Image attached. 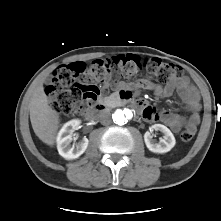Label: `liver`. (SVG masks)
I'll return each mask as SVG.
<instances>
[{
    "label": "liver",
    "instance_id": "obj_1",
    "mask_svg": "<svg viewBox=\"0 0 221 221\" xmlns=\"http://www.w3.org/2000/svg\"><path fill=\"white\" fill-rule=\"evenodd\" d=\"M30 121L34 133L45 144L53 146L59 129V114L49 104L41 82L33 92L30 102Z\"/></svg>",
    "mask_w": 221,
    "mask_h": 221
}]
</instances>
